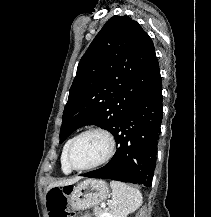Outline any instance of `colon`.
<instances>
[{"instance_id":"1","label":"colon","mask_w":211,"mask_h":217,"mask_svg":"<svg viewBox=\"0 0 211 217\" xmlns=\"http://www.w3.org/2000/svg\"><path fill=\"white\" fill-rule=\"evenodd\" d=\"M67 194L66 188L51 189L47 195V208L50 217H69L67 210Z\"/></svg>"}]
</instances>
